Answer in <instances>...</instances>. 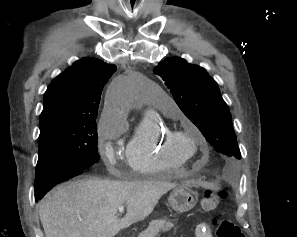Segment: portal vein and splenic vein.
<instances>
[{"label": "portal vein and splenic vein", "mask_w": 297, "mask_h": 237, "mask_svg": "<svg viewBox=\"0 0 297 237\" xmlns=\"http://www.w3.org/2000/svg\"><path fill=\"white\" fill-rule=\"evenodd\" d=\"M123 211H124V207L123 206L119 207V213H123Z\"/></svg>", "instance_id": "obj_1"}]
</instances>
